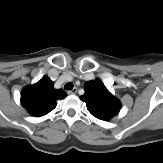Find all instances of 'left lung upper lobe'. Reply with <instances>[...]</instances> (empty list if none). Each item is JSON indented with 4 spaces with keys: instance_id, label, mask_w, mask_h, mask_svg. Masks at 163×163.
Returning <instances> with one entry per match:
<instances>
[{
    "instance_id": "left-lung-upper-lobe-1",
    "label": "left lung upper lobe",
    "mask_w": 163,
    "mask_h": 163,
    "mask_svg": "<svg viewBox=\"0 0 163 163\" xmlns=\"http://www.w3.org/2000/svg\"><path fill=\"white\" fill-rule=\"evenodd\" d=\"M84 90L85 94L80 99L85 101L88 111L96 118L107 121L119 113V100L107 90L100 79L87 81Z\"/></svg>"
}]
</instances>
